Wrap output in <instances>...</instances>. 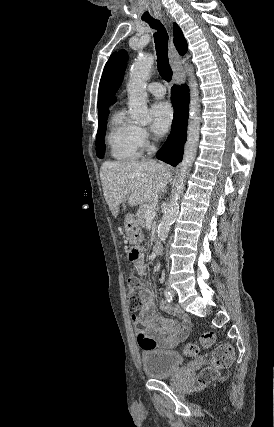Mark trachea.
<instances>
[{
    "label": "trachea",
    "mask_w": 274,
    "mask_h": 427,
    "mask_svg": "<svg viewBox=\"0 0 274 427\" xmlns=\"http://www.w3.org/2000/svg\"><path fill=\"white\" fill-rule=\"evenodd\" d=\"M145 22L156 30L154 33V42L157 53L158 72L164 80L170 82L172 78V69L168 59V33L162 23L159 20H155V18L147 19Z\"/></svg>",
    "instance_id": "obj_1"
}]
</instances>
